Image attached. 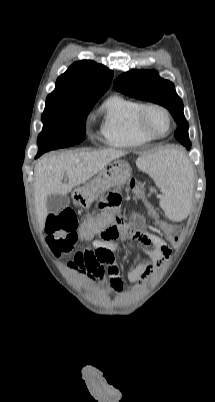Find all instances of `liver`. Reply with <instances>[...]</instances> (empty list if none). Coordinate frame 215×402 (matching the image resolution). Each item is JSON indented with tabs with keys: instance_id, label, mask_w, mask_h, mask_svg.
Here are the masks:
<instances>
[{
	"instance_id": "1",
	"label": "liver",
	"mask_w": 215,
	"mask_h": 402,
	"mask_svg": "<svg viewBox=\"0 0 215 402\" xmlns=\"http://www.w3.org/2000/svg\"><path fill=\"white\" fill-rule=\"evenodd\" d=\"M124 155L125 152L120 150L105 149L64 153L39 160L34 169V200L40 226L44 227L48 215L49 195L68 194ZM64 174L68 177L67 183L63 182Z\"/></svg>"
}]
</instances>
